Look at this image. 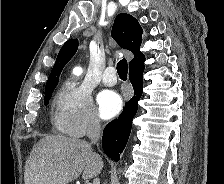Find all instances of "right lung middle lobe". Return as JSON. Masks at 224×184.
Returning a JSON list of instances; mask_svg holds the SVG:
<instances>
[{"label": "right lung middle lobe", "instance_id": "1", "mask_svg": "<svg viewBox=\"0 0 224 184\" xmlns=\"http://www.w3.org/2000/svg\"><path fill=\"white\" fill-rule=\"evenodd\" d=\"M52 92H53V90H50V91H46V92H45V97H44V104H45V105L48 104Z\"/></svg>", "mask_w": 224, "mask_h": 184}]
</instances>
